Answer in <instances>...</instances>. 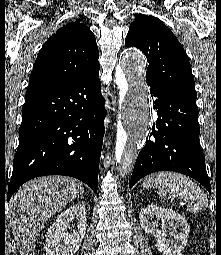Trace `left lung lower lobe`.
I'll return each instance as SVG.
<instances>
[{
	"label": "left lung lower lobe",
	"instance_id": "left-lung-lower-lobe-1",
	"mask_svg": "<svg viewBox=\"0 0 221 255\" xmlns=\"http://www.w3.org/2000/svg\"><path fill=\"white\" fill-rule=\"evenodd\" d=\"M148 86L152 97H156L153 109L157 110L158 118L137 157L129 187L152 172L175 171L194 178L211 193L205 157L199 145L196 101L159 86Z\"/></svg>",
	"mask_w": 221,
	"mask_h": 255
}]
</instances>
